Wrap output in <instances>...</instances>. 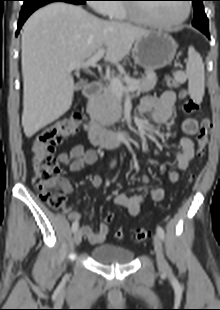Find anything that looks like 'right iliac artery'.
<instances>
[{"instance_id":"right-iliac-artery-1","label":"right iliac artery","mask_w":220,"mask_h":310,"mask_svg":"<svg viewBox=\"0 0 220 310\" xmlns=\"http://www.w3.org/2000/svg\"><path fill=\"white\" fill-rule=\"evenodd\" d=\"M78 227H79L78 221L73 222V224H72V231L76 232Z\"/></svg>"}]
</instances>
